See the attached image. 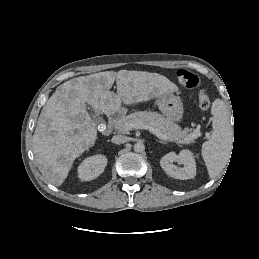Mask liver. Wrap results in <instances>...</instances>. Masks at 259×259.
Segmentation results:
<instances>
[{
    "label": "liver",
    "instance_id": "6515ba94",
    "mask_svg": "<svg viewBox=\"0 0 259 259\" xmlns=\"http://www.w3.org/2000/svg\"><path fill=\"white\" fill-rule=\"evenodd\" d=\"M117 93L110 89L114 81ZM178 87L165 76L146 71H105L73 78L56 88L42 108L33 137V151L39 171L46 180L60 186L73 162L97 140V124L86 104L97 115L118 111L123 102H147Z\"/></svg>",
    "mask_w": 259,
    "mask_h": 259
}]
</instances>
